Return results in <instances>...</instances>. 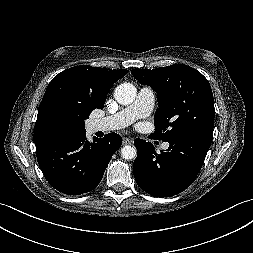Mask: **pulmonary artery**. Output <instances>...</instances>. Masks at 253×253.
Wrapping results in <instances>:
<instances>
[{
  "label": "pulmonary artery",
  "mask_w": 253,
  "mask_h": 253,
  "mask_svg": "<svg viewBox=\"0 0 253 253\" xmlns=\"http://www.w3.org/2000/svg\"><path fill=\"white\" fill-rule=\"evenodd\" d=\"M155 95L151 88L142 87L132 104L117 113L96 119L92 122L93 131H114L125 128L140 118L149 116L154 108ZM169 144L163 143L161 148L168 149Z\"/></svg>",
  "instance_id": "obj_1"
}]
</instances>
